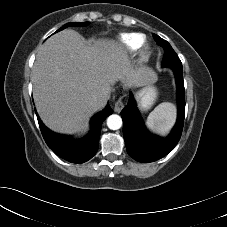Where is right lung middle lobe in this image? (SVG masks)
<instances>
[{
	"instance_id": "right-lung-middle-lobe-1",
	"label": "right lung middle lobe",
	"mask_w": 227,
	"mask_h": 227,
	"mask_svg": "<svg viewBox=\"0 0 227 227\" xmlns=\"http://www.w3.org/2000/svg\"><path fill=\"white\" fill-rule=\"evenodd\" d=\"M86 24H88V22H82V23H67V24H65L64 26H62L60 29H58L57 32H58V31H61V30H63V29H65V28H67V27H69V26H84V25H86Z\"/></svg>"
}]
</instances>
